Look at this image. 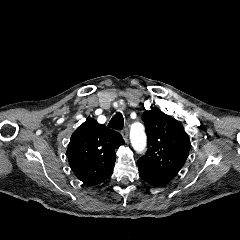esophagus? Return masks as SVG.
<instances>
[{
	"label": "esophagus",
	"instance_id": "1",
	"mask_svg": "<svg viewBox=\"0 0 240 240\" xmlns=\"http://www.w3.org/2000/svg\"><path fill=\"white\" fill-rule=\"evenodd\" d=\"M128 135H129V131L127 128H125L123 131H122V137L125 141H127L128 139Z\"/></svg>",
	"mask_w": 240,
	"mask_h": 240
}]
</instances>
